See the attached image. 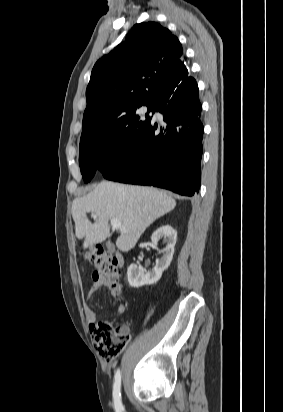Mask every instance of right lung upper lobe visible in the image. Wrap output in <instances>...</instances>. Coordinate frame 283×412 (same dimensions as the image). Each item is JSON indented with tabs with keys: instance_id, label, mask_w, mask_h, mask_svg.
I'll list each match as a JSON object with an SVG mask.
<instances>
[{
	"instance_id": "1",
	"label": "right lung upper lobe",
	"mask_w": 283,
	"mask_h": 412,
	"mask_svg": "<svg viewBox=\"0 0 283 412\" xmlns=\"http://www.w3.org/2000/svg\"><path fill=\"white\" fill-rule=\"evenodd\" d=\"M177 37L155 22L136 24L126 41L93 67L81 138L109 129L128 109L156 103L190 76Z\"/></svg>"
}]
</instances>
